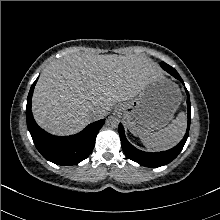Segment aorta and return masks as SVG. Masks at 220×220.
<instances>
[{"instance_id": "aorta-1", "label": "aorta", "mask_w": 220, "mask_h": 220, "mask_svg": "<svg viewBox=\"0 0 220 220\" xmlns=\"http://www.w3.org/2000/svg\"><path fill=\"white\" fill-rule=\"evenodd\" d=\"M106 125L110 128H117L119 125V119L115 116H109L106 120Z\"/></svg>"}]
</instances>
